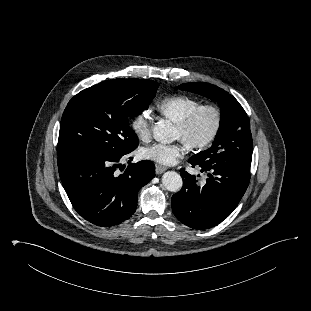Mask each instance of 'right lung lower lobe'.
Returning <instances> with one entry per match:
<instances>
[{"label": "right lung lower lobe", "mask_w": 311, "mask_h": 311, "mask_svg": "<svg viewBox=\"0 0 311 311\" xmlns=\"http://www.w3.org/2000/svg\"><path fill=\"white\" fill-rule=\"evenodd\" d=\"M122 157L58 156L59 175L70 202L80 216L97 226L112 227L129 219L136 210L139 189L154 178L155 167L149 160L130 164L119 175Z\"/></svg>", "instance_id": "1"}]
</instances>
